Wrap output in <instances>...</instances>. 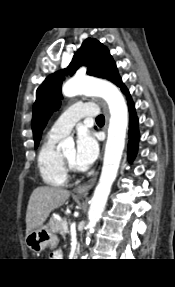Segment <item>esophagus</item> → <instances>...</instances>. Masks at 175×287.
<instances>
[{
	"label": "esophagus",
	"instance_id": "obj_1",
	"mask_svg": "<svg viewBox=\"0 0 175 287\" xmlns=\"http://www.w3.org/2000/svg\"><path fill=\"white\" fill-rule=\"evenodd\" d=\"M96 101L98 102V104L101 106L103 113L105 115V126H104V131H106L107 129V125H108V121H109V111L107 108V105L104 101L96 99ZM99 171H96L89 180H87L86 182H84L83 184H81L80 186H78L74 192L77 195H81V196H86L89 191L91 190V188L94 186L97 177H98Z\"/></svg>",
	"mask_w": 175,
	"mask_h": 287
}]
</instances>
